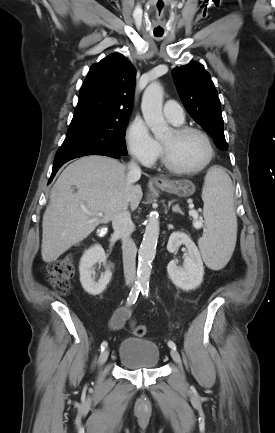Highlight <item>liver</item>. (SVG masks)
<instances>
[{
	"mask_svg": "<svg viewBox=\"0 0 275 433\" xmlns=\"http://www.w3.org/2000/svg\"><path fill=\"white\" fill-rule=\"evenodd\" d=\"M142 196L141 186L128 184L127 168L117 160L92 155L74 161L51 189L42 222V260L56 261L99 224L110 222L124 205L135 210Z\"/></svg>",
	"mask_w": 275,
	"mask_h": 433,
	"instance_id": "liver-1",
	"label": "liver"
}]
</instances>
